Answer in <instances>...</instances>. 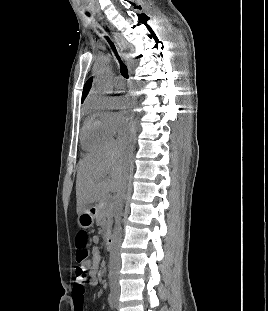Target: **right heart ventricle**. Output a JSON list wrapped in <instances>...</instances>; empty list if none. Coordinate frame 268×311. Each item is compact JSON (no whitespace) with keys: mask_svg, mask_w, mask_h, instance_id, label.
I'll return each instance as SVG.
<instances>
[{"mask_svg":"<svg viewBox=\"0 0 268 311\" xmlns=\"http://www.w3.org/2000/svg\"><path fill=\"white\" fill-rule=\"evenodd\" d=\"M112 135L106 131L101 122L95 116H88L84 121L81 142L86 150H96L108 145Z\"/></svg>","mask_w":268,"mask_h":311,"instance_id":"right-heart-ventricle-1","label":"right heart ventricle"}]
</instances>
